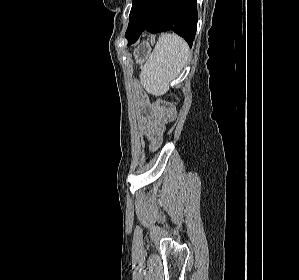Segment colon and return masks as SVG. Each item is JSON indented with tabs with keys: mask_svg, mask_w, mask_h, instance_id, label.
Instances as JSON below:
<instances>
[{
	"mask_svg": "<svg viewBox=\"0 0 299 280\" xmlns=\"http://www.w3.org/2000/svg\"><path fill=\"white\" fill-rule=\"evenodd\" d=\"M158 106L163 110L169 120H173V118L175 117V109L172 104L166 101H160L158 103Z\"/></svg>",
	"mask_w": 299,
	"mask_h": 280,
	"instance_id": "obj_1",
	"label": "colon"
}]
</instances>
